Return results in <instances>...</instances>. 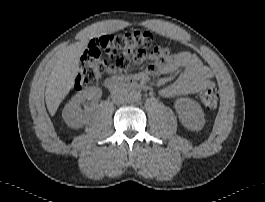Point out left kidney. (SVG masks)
Masks as SVG:
<instances>
[{"label":"left kidney","mask_w":265,"mask_h":202,"mask_svg":"<svg viewBox=\"0 0 265 202\" xmlns=\"http://www.w3.org/2000/svg\"><path fill=\"white\" fill-rule=\"evenodd\" d=\"M180 122L185 128L199 131L204 127V112L198 102L190 98H179L174 104Z\"/></svg>","instance_id":"obj_1"}]
</instances>
